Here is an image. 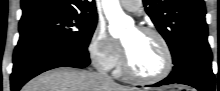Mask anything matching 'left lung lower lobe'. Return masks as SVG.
<instances>
[{"label": "left lung lower lobe", "mask_w": 220, "mask_h": 91, "mask_svg": "<svg viewBox=\"0 0 220 91\" xmlns=\"http://www.w3.org/2000/svg\"><path fill=\"white\" fill-rule=\"evenodd\" d=\"M211 62V51L186 55L182 62L174 65L173 71L167 78L150 86L158 87L161 85L179 83L192 86L199 91H214L215 76L212 72Z\"/></svg>", "instance_id": "left-lung-lower-lobe-1"}]
</instances>
